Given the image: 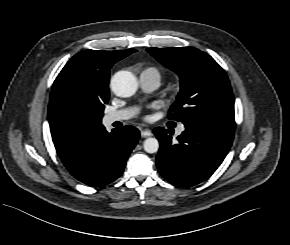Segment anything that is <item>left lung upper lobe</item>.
Masks as SVG:
<instances>
[{"label": "left lung upper lobe", "instance_id": "1", "mask_svg": "<svg viewBox=\"0 0 290 245\" xmlns=\"http://www.w3.org/2000/svg\"><path fill=\"white\" fill-rule=\"evenodd\" d=\"M147 52L180 77V92L169 110V119L182 123L200 121L234 133L231 85L210 55L193 47L148 48Z\"/></svg>", "mask_w": 290, "mask_h": 245}]
</instances>
